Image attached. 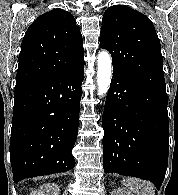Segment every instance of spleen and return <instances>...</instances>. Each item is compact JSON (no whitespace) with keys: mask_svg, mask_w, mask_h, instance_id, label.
Segmentation results:
<instances>
[{"mask_svg":"<svg viewBox=\"0 0 178 195\" xmlns=\"http://www.w3.org/2000/svg\"><path fill=\"white\" fill-rule=\"evenodd\" d=\"M122 183L136 195H155L154 186L151 182L136 178H124Z\"/></svg>","mask_w":178,"mask_h":195,"instance_id":"spleen-1","label":"spleen"}]
</instances>
